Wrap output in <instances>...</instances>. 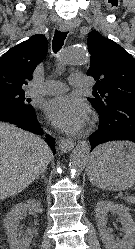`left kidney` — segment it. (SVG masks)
<instances>
[{
    "label": "left kidney",
    "mask_w": 135,
    "mask_h": 249,
    "mask_svg": "<svg viewBox=\"0 0 135 249\" xmlns=\"http://www.w3.org/2000/svg\"><path fill=\"white\" fill-rule=\"evenodd\" d=\"M108 212L117 214L120 218L124 231V237L120 241H115L107 230ZM95 214L99 233L106 249H133L135 246V222L127 206L102 200L96 204Z\"/></svg>",
    "instance_id": "obj_1"
}]
</instances>
